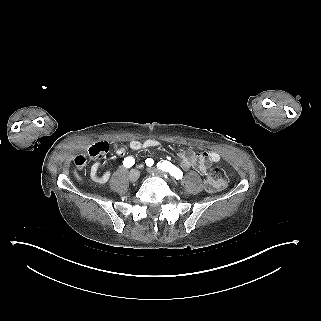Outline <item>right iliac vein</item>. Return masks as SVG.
I'll return each instance as SVG.
<instances>
[{
    "label": "right iliac vein",
    "mask_w": 321,
    "mask_h": 321,
    "mask_svg": "<svg viewBox=\"0 0 321 321\" xmlns=\"http://www.w3.org/2000/svg\"><path fill=\"white\" fill-rule=\"evenodd\" d=\"M139 176H140V172L137 169H132L128 175L129 180L132 183L136 182L139 179Z\"/></svg>",
    "instance_id": "obj_1"
}]
</instances>
